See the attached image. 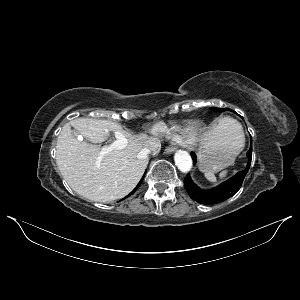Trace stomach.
Instances as JSON below:
<instances>
[{
    "instance_id": "1",
    "label": "stomach",
    "mask_w": 300,
    "mask_h": 300,
    "mask_svg": "<svg viewBox=\"0 0 300 300\" xmlns=\"http://www.w3.org/2000/svg\"><path fill=\"white\" fill-rule=\"evenodd\" d=\"M220 124V123H219ZM226 136L214 145L202 146L198 153L199 168L213 173L233 164L244 143L225 128Z\"/></svg>"
}]
</instances>
